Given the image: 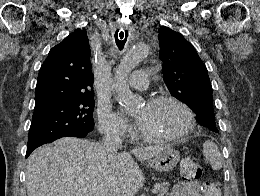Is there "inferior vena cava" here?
Here are the masks:
<instances>
[{"instance_id":"inferior-vena-cava-1","label":"inferior vena cava","mask_w":260,"mask_h":196,"mask_svg":"<svg viewBox=\"0 0 260 196\" xmlns=\"http://www.w3.org/2000/svg\"><path fill=\"white\" fill-rule=\"evenodd\" d=\"M121 144L122 140L119 134H106L102 138V146H105L109 154H117L119 148H122Z\"/></svg>"}]
</instances>
